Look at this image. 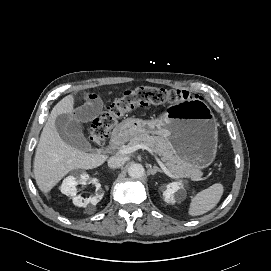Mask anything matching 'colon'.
<instances>
[{"label":"colon","instance_id":"1","mask_svg":"<svg viewBox=\"0 0 271 271\" xmlns=\"http://www.w3.org/2000/svg\"><path fill=\"white\" fill-rule=\"evenodd\" d=\"M182 97H185L183 91L156 87H139L128 91L93 120L89 134L90 140L97 145L103 144L115 122L134 108L171 103Z\"/></svg>","mask_w":271,"mask_h":271}]
</instances>
